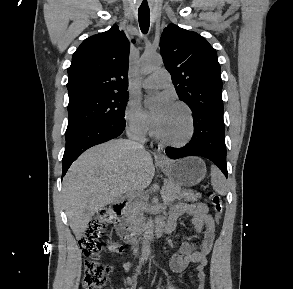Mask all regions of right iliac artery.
Segmentation results:
<instances>
[{"instance_id":"82829eb1","label":"right iliac artery","mask_w":293,"mask_h":289,"mask_svg":"<svg viewBox=\"0 0 293 289\" xmlns=\"http://www.w3.org/2000/svg\"><path fill=\"white\" fill-rule=\"evenodd\" d=\"M144 259L141 258L140 261H139V265L137 266V269H136V272L132 278V280L130 281V284H132V282L137 278V276L140 274L141 272V268H142V265L144 264Z\"/></svg>"}]
</instances>
